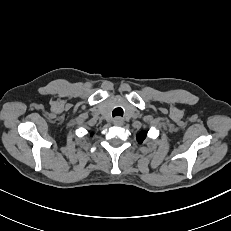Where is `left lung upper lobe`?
<instances>
[{
	"mask_svg": "<svg viewBox=\"0 0 231 231\" xmlns=\"http://www.w3.org/2000/svg\"><path fill=\"white\" fill-rule=\"evenodd\" d=\"M145 137H146V133H145V132H141V133H139V134L137 135V141H138L139 143H142V142L144 141Z\"/></svg>",
	"mask_w": 231,
	"mask_h": 231,
	"instance_id": "5c2ea615",
	"label": "left lung upper lobe"
}]
</instances>
